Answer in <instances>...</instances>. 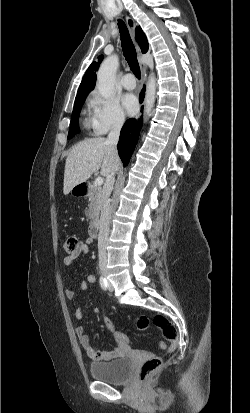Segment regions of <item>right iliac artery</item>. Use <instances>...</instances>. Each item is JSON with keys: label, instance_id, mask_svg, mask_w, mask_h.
Wrapping results in <instances>:
<instances>
[{"label": "right iliac artery", "instance_id": "82829eb1", "mask_svg": "<svg viewBox=\"0 0 250 413\" xmlns=\"http://www.w3.org/2000/svg\"><path fill=\"white\" fill-rule=\"evenodd\" d=\"M99 284H100L101 288H102L104 291L107 290L108 284H107L106 279H105L103 276L100 277V279H99Z\"/></svg>", "mask_w": 250, "mask_h": 413}]
</instances>
